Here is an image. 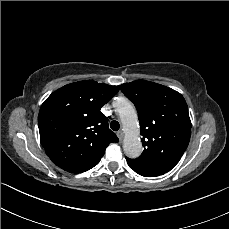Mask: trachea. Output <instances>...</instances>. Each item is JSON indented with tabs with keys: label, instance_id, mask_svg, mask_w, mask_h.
<instances>
[{
	"label": "trachea",
	"instance_id": "obj_1",
	"mask_svg": "<svg viewBox=\"0 0 229 229\" xmlns=\"http://www.w3.org/2000/svg\"><path fill=\"white\" fill-rule=\"evenodd\" d=\"M110 128H111L113 131H118L119 128H120L119 122L116 121V120L111 121V123H110Z\"/></svg>",
	"mask_w": 229,
	"mask_h": 229
}]
</instances>
